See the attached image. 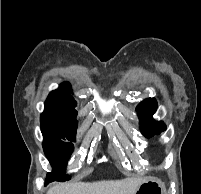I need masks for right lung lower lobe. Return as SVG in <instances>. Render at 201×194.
I'll list each match as a JSON object with an SVG mask.
<instances>
[{
  "label": "right lung lower lobe",
  "mask_w": 201,
  "mask_h": 194,
  "mask_svg": "<svg viewBox=\"0 0 201 194\" xmlns=\"http://www.w3.org/2000/svg\"><path fill=\"white\" fill-rule=\"evenodd\" d=\"M49 160H51V159H49ZM49 182H50V180L46 178L45 185H47Z\"/></svg>",
  "instance_id": "98d812e1"
}]
</instances>
